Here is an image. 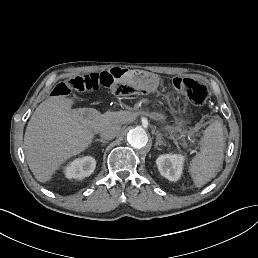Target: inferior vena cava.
Returning a JSON list of instances; mask_svg holds the SVG:
<instances>
[{
	"label": "inferior vena cava",
	"instance_id": "1",
	"mask_svg": "<svg viewBox=\"0 0 258 258\" xmlns=\"http://www.w3.org/2000/svg\"><path fill=\"white\" fill-rule=\"evenodd\" d=\"M119 132H120V127L113 124H109L102 129L100 136L103 139L110 140L116 137L119 134Z\"/></svg>",
	"mask_w": 258,
	"mask_h": 258
}]
</instances>
